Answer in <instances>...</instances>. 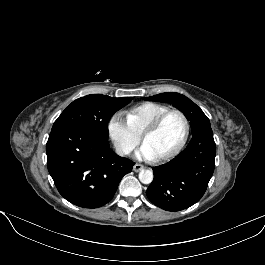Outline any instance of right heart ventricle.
I'll return each mask as SVG.
<instances>
[{
  "mask_svg": "<svg viewBox=\"0 0 265 265\" xmlns=\"http://www.w3.org/2000/svg\"><path fill=\"white\" fill-rule=\"evenodd\" d=\"M169 110L167 106L146 102L132 107L126 112V122L137 135H141L143 130L160 114Z\"/></svg>",
  "mask_w": 265,
  "mask_h": 265,
  "instance_id": "e07e8e85",
  "label": "right heart ventricle"
}]
</instances>
